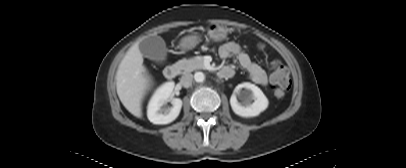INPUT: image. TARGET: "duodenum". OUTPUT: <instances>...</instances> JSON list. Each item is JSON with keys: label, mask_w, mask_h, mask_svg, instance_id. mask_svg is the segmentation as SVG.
<instances>
[{"label": "duodenum", "mask_w": 406, "mask_h": 168, "mask_svg": "<svg viewBox=\"0 0 406 168\" xmlns=\"http://www.w3.org/2000/svg\"><path fill=\"white\" fill-rule=\"evenodd\" d=\"M179 73V67L175 64L169 65L164 69V77L168 80L174 79ZM219 78H229L233 75V70L230 68H221L217 71Z\"/></svg>", "instance_id": "1"}]
</instances>
